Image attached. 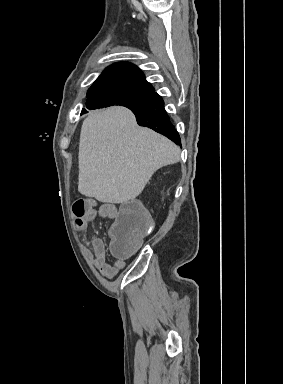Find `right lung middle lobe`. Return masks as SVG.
I'll return each instance as SVG.
<instances>
[{
	"instance_id": "dd1d6c3e",
	"label": "right lung middle lobe",
	"mask_w": 283,
	"mask_h": 384,
	"mask_svg": "<svg viewBox=\"0 0 283 384\" xmlns=\"http://www.w3.org/2000/svg\"><path fill=\"white\" fill-rule=\"evenodd\" d=\"M88 109L122 105L131 108H144L153 104L159 97L154 91H146L115 85L92 86L87 93ZM84 110V109H83Z\"/></svg>"
}]
</instances>
